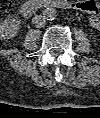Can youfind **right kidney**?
Segmentation results:
<instances>
[{
	"label": "right kidney",
	"mask_w": 100,
	"mask_h": 118,
	"mask_svg": "<svg viewBox=\"0 0 100 118\" xmlns=\"http://www.w3.org/2000/svg\"><path fill=\"white\" fill-rule=\"evenodd\" d=\"M20 22L15 19H5L0 25L1 39H13L19 30Z\"/></svg>",
	"instance_id": "ca27d5eb"
}]
</instances>
